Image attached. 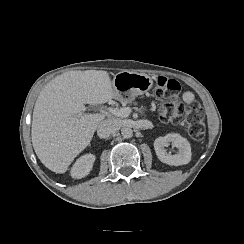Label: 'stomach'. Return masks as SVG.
Wrapping results in <instances>:
<instances>
[{"label":"stomach","mask_w":244,"mask_h":244,"mask_svg":"<svg viewBox=\"0 0 244 244\" xmlns=\"http://www.w3.org/2000/svg\"><path fill=\"white\" fill-rule=\"evenodd\" d=\"M153 86V79L145 73L123 70L114 75L112 80L113 97L121 102H131Z\"/></svg>","instance_id":"0dacf381"}]
</instances>
